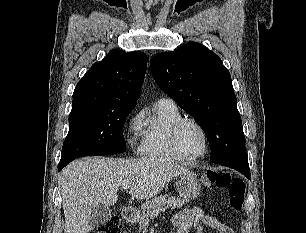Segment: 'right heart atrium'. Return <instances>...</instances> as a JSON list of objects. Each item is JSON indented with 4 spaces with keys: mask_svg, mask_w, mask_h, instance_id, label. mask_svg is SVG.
<instances>
[{
    "mask_svg": "<svg viewBox=\"0 0 306 233\" xmlns=\"http://www.w3.org/2000/svg\"><path fill=\"white\" fill-rule=\"evenodd\" d=\"M141 129L142 114L137 112L131 116L126 129V140L130 147L135 148L137 146Z\"/></svg>",
    "mask_w": 306,
    "mask_h": 233,
    "instance_id": "right-heart-atrium-1",
    "label": "right heart atrium"
}]
</instances>
